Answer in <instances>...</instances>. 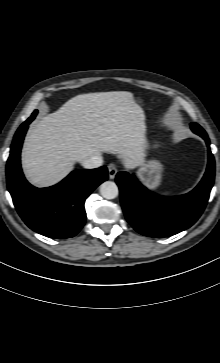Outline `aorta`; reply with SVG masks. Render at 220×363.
Masks as SVG:
<instances>
[{"instance_id": "aorta-1", "label": "aorta", "mask_w": 220, "mask_h": 363, "mask_svg": "<svg viewBox=\"0 0 220 363\" xmlns=\"http://www.w3.org/2000/svg\"><path fill=\"white\" fill-rule=\"evenodd\" d=\"M100 194L105 199H114L119 194L118 186L115 182L105 181L100 185Z\"/></svg>"}]
</instances>
